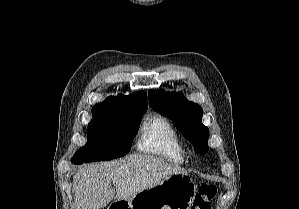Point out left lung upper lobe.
I'll list each match as a JSON object with an SVG mask.
<instances>
[{
	"mask_svg": "<svg viewBox=\"0 0 299 209\" xmlns=\"http://www.w3.org/2000/svg\"><path fill=\"white\" fill-rule=\"evenodd\" d=\"M150 106L162 115L168 116L195 148L204 154L208 151L209 130L203 125V110L196 103L188 101L180 93H164L162 90L148 92Z\"/></svg>",
	"mask_w": 299,
	"mask_h": 209,
	"instance_id": "1",
	"label": "left lung upper lobe"
}]
</instances>
